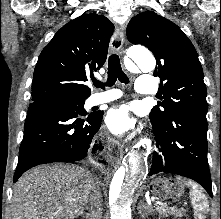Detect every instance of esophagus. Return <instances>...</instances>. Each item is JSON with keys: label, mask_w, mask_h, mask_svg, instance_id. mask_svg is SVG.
<instances>
[{"label": "esophagus", "mask_w": 221, "mask_h": 219, "mask_svg": "<svg viewBox=\"0 0 221 219\" xmlns=\"http://www.w3.org/2000/svg\"><path fill=\"white\" fill-rule=\"evenodd\" d=\"M123 44H124L123 31L121 28H116L110 41V50L114 53H122Z\"/></svg>", "instance_id": "34e87169"}]
</instances>
